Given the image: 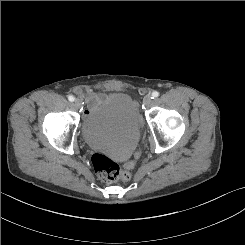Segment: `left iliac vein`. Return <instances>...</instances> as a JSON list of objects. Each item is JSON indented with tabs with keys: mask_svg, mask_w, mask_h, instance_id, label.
<instances>
[{
	"mask_svg": "<svg viewBox=\"0 0 245 245\" xmlns=\"http://www.w3.org/2000/svg\"><path fill=\"white\" fill-rule=\"evenodd\" d=\"M152 98H151V95L150 94H148V95H146L145 97H144V100H143V102H144V105L146 106V107H148L150 104H151V100Z\"/></svg>",
	"mask_w": 245,
	"mask_h": 245,
	"instance_id": "4c4485c4",
	"label": "left iliac vein"
}]
</instances>
